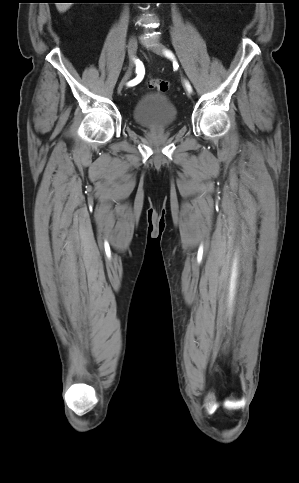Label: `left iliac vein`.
<instances>
[{
  "instance_id": "1",
  "label": "left iliac vein",
  "mask_w": 299,
  "mask_h": 483,
  "mask_svg": "<svg viewBox=\"0 0 299 483\" xmlns=\"http://www.w3.org/2000/svg\"><path fill=\"white\" fill-rule=\"evenodd\" d=\"M150 49H151V50H152L154 53H156V54H158V55H164V54H165V50H166L165 46H164V45H162V44H159V43H158V44H155V45H154V46H152V47H150ZM183 84H184L185 89H186V90H187V92H188V91H189V89H188L187 84L185 83V80H184V79H183Z\"/></svg>"
}]
</instances>
